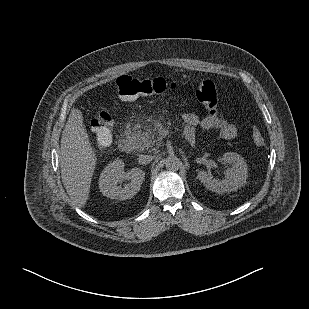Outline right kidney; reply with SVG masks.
Here are the masks:
<instances>
[{
    "instance_id": "right-kidney-1",
    "label": "right kidney",
    "mask_w": 309,
    "mask_h": 309,
    "mask_svg": "<svg viewBox=\"0 0 309 309\" xmlns=\"http://www.w3.org/2000/svg\"><path fill=\"white\" fill-rule=\"evenodd\" d=\"M145 173L140 168L124 171V162L117 158L111 161L101 172L99 189L102 194L111 199L126 200L134 197L141 188ZM129 183L122 186L124 181Z\"/></svg>"
}]
</instances>
